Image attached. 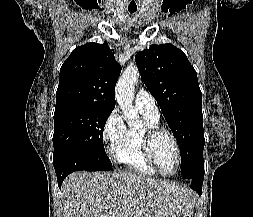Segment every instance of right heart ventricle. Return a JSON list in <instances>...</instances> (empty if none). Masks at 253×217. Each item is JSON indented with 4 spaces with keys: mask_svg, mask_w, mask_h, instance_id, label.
Wrapping results in <instances>:
<instances>
[{
    "mask_svg": "<svg viewBox=\"0 0 253 217\" xmlns=\"http://www.w3.org/2000/svg\"><path fill=\"white\" fill-rule=\"evenodd\" d=\"M139 111L143 118V125L140 128L126 129L124 138L115 149V158L136 173L153 176L157 172L144 156L142 137L146 127L159 126V117H154L141 109Z\"/></svg>",
    "mask_w": 253,
    "mask_h": 217,
    "instance_id": "e07e8e85",
    "label": "right heart ventricle"
}]
</instances>
